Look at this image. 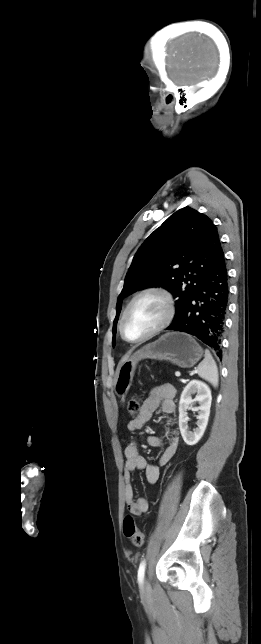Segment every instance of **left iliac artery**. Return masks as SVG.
<instances>
[{"label":"left iliac artery","mask_w":261,"mask_h":644,"mask_svg":"<svg viewBox=\"0 0 261 644\" xmlns=\"http://www.w3.org/2000/svg\"><path fill=\"white\" fill-rule=\"evenodd\" d=\"M145 566H146V562H145V560H143L140 563L139 569H138V582H139L140 585L143 583L144 574H145Z\"/></svg>","instance_id":"1"}]
</instances>
